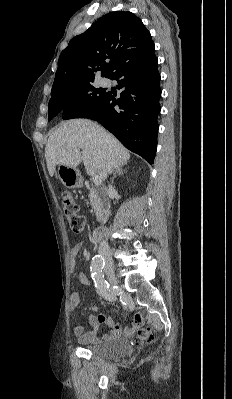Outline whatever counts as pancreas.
Segmentation results:
<instances>
[{
    "mask_svg": "<svg viewBox=\"0 0 232 399\" xmlns=\"http://www.w3.org/2000/svg\"><path fill=\"white\" fill-rule=\"evenodd\" d=\"M89 200L92 209H94L97 215V221H107L110 215V205L105 194H99L95 188H91Z\"/></svg>",
    "mask_w": 232,
    "mask_h": 399,
    "instance_id": "obj_1",
    "label": "pancreas"
}]
</instances>
